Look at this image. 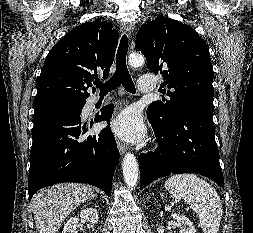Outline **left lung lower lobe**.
Instances as JSON below:
<instances>
[{
  "instance_id": "obj_1",
  "label": "left lung lower lobe",
  "mask_w": 253,
  "mask_h": 233,
  "mask_svg": "<svg viewBox=\"0 0 253 233\" xmlns=\"http://www.w3.org/2000/svg\"><path fill=\"white\" fill-rule=\"evenodd\" d=\"M213 111L195 108L178 113L162 127L147 111L159 147L140 155V189L171 174L198 173L224 189L219 152L214 137Z\"/></svg>"
}]
</instances>
